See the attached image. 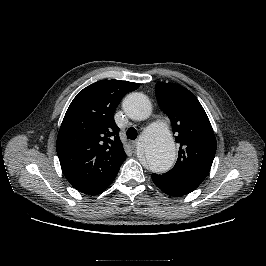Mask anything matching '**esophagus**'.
I'll return each instance as SVG.
<instances>
[{"label": "esophagus", "mask_w": 266, "mask_h": 266, "mask_svg": "<svg viewBox=\"0 0 266 266\" xmlns=\"http://www.w3.org/2000/svg\"><path fill=\"white\" fill-rule=\"evenodd\" d=\"M136 144H137V141L136 140L130 141V146L132 148H135L136 147Z\"/></svg>", "instance_id": "34e87169"}]
</instances>
